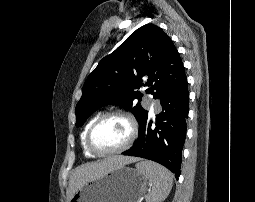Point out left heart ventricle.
Returning <instances> with one entry per match:
<instances>
[{
	"instance_id": "obj_1",
	"label": "left heart ventricle",
	"mask_w": 255,
	"mask_h": 202,
	"mask_svg": "<svg viewBox=\"0 0 255 202\" xmlns=\"http://www.w3.org/2000/svg\"><path fill=\"white\" fill-rule=\"evenodd\" d=\"M129 133L126 120L121 117H111L96 127L92 135V144L98 151H112L127 141Z\"/></svg>"
}]
</instances>
